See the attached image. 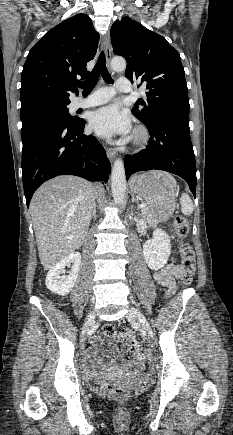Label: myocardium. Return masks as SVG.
I'll list each match as a JSON object with an SVG mask.
<instances>
[{
  "instance_id": "obj_1",
  "label": "myocardium",
  "mask_w": 233,
  "mask_h": 435,
  "mask_svg": "<svg viewBox=\"0 0 233 435\" xmlns=\"http://www.w3.org/2000/svg\"><path fill=\"white\" fill-rule=\"evenodd\" d=\"M149 139V133L144 127H137L131 137L130 143L134 148L143 146Z\"/></svg>"
}]
</instances>
